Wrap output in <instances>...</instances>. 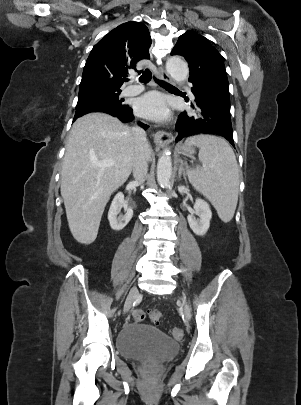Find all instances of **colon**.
Returning a JSON list of instances; mask_svg holds the SVG:
<instances>
[{
    "label": "colon",
    "mask_w": 301,
    "mask_h": 405,
    "mask_svg": "<svg viewBox=\"0 0 301 405\" xmlns=\"http://www.w3.org/2000/svg\"><path fill=\"white\" fill-rule=\"evenodd\" d=\"M146 316H147L146 312L140 309H137L133 312V319L136 322L144 321ZM148 317L154 324H159L162 319V314L158 310H152L148 312ZM172 335L176 339H181L183 337V331L182 329L175 327L172 330Z\"/></svg>",
    "instance_id": "colon-1"
}]
</instances>
